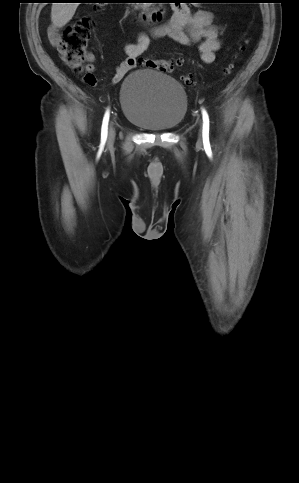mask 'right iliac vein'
Here are the masks:
<instances>
[{
	"label": "right iliac vein",
	"instance_id": "63e3f726",
	"mask_svg": "<svg viewBox=\"0 0 299 483\" xmlns=\"http://www.w3.org/2000/svg\"><path fill=\"white\" fill-rule=\"evenodd\" d=\"M115 138V129L113 127L109 130V143H112Z\"/></svg>",
	"mask_w": 299,
	"mask_h": 483
}]
</instances>
